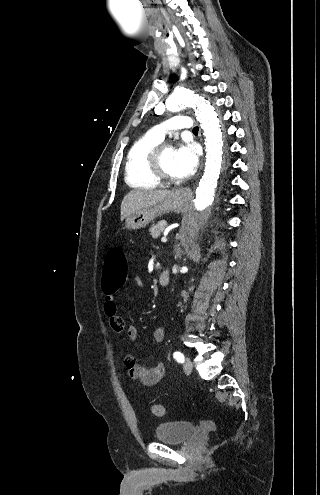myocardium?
Masks as SVG:
<instances>
[{
	"mask_svg": "<svg viewBox=\"0 0 320 495\" xmlns=\"http://www.w3.org/2000/svg\"><path fill=\"white\" fill-rule=\"evenodd\" d=\"M171 147L169 143H159L156 145L148 155V165L151 173L162 182H174L176 179L170 176L163 168L161 162V156L165 148Z\"/></svg>",
	"mask_w": 320,
	"mask_h": 495,
	"instance_id": "f54148a6",
	"label": "myocardium"
}]
</instances>
